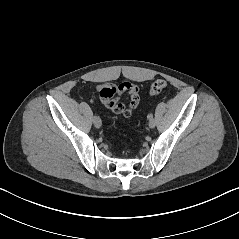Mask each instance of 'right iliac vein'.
<instances>
[{
  "instance_id": "obj_1",
  "label": "right iliac vein",
  "mask_w": 239,
  "mask_h": 239,
  "mask_svg": "<svg viewBox=\"0 0 239 239\" xmlns=\"http://www.w3.org/2000/svg\"><path fill=\"white\" fill-rule=\"evenodd\" d=\"M94 125L96 128H100L102 123H101V120L99 118H97L95 121H94Z\"/></svg>"
}]
</instances>
